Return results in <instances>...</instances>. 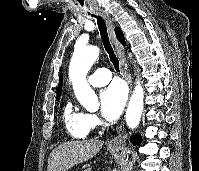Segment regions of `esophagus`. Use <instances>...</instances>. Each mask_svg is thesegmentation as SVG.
<instances>
[{
  "mask_svg": "<svg viewBox=\"0 0 199 171\" xmlns=\"http://www.w3.org/2000/svg\"><path fill=\"white\" fill-rule=\"evenodd\" d=\"M99 14L104 18V20L106 21V23L108 25V28L110 30L112 45H113L116 55L119 59L120 68H121L123 77L125 78L128 86H129L130 93H131L132 85H133L132 77L129 72L128 66L126 64L122 46H121L120 42L117 40L115 33H114V26H115L114 21L111 18V16L105 11H100ZM126 140H127V133H126L124 126L121 124L117 128V135L113 139L110 140L109 146L114 147V148L124 147L126 144Z\"/></svg>",
  "mask_w": 199,
  "mask_h": 171,
  "instance_id": "obj_1",
  "label": "esophagus"
}]
</instances>
